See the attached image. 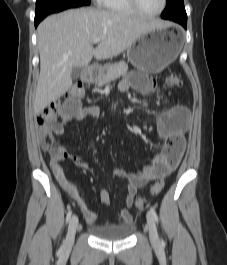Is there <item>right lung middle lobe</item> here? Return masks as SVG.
Wrapping results in <instances>:
<instances>
[{
    "mask_svg": "<svg viewBox=\"0 0 227 265\" xmlns=\"http://www.w3.org/2000/svg\"><path fill=\"white\" fill-rule=\"evenodd\" d=\"M89 4L90 0H37L35 20L41 21L48 14Z\"/></svg>",
    "mask_w": 227,
    "mask_h": 265,
    "instance_id": "obj_1",
    "label": "right lung middle lobe"
}]
</instances>
